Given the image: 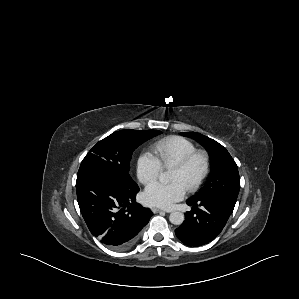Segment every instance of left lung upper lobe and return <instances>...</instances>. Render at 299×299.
I'll return each mask as SVG.
<instances>
[{"label": "left lung upper lobe", "mask_w": 299, "mask_h": 299, "mask_svg": "<svg viewBox=\"0 0 299 299\" xmlns=\"http://www.w3.org/2000/svg\"><path fill=\"white\" fill-rule=\"evenodd\" d=\"M181 135L194 138L203 145L212 160V173L209 179L191 199L200 201L216 198L234 207L240 189V177L237 165L229 152L221 144L202 134L186 132Z\"/></svg>", "instance_id": "1"}]
</instances>
